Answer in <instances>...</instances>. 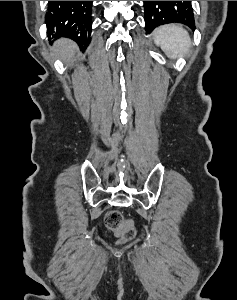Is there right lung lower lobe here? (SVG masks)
<instances>
[{
	"label": "right lung lower lobe",
	"mask_w": 237,
	"mask_h": 300,
	"mask_svg": "<svg viewBox=\"0 0 237 300\" xmlns=\"http://www.w3.org/2000/svg\"><path fill=\"white\" fill-rule=\"evenodd\" d=\"M92 1H49L46 25L49 40L67 37L84 50L91 40Z\"/></svg>",
	"instance_id": "obj_1"
}]
</instances>
